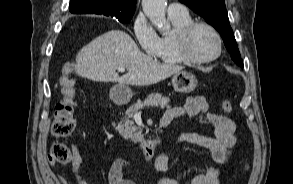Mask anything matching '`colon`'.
<instances>
[{
    "label": "colon",
    "mask_w": 293,
    "mask_h": 184,
    "mask_svg": "<svg viewBox=\"0 0 293 184\" xmlns=\"http://www.w3.org/2000/svg\"><path fill=\"white\" fill-rule=\"evenodd\" d=\"M74 68V63H67L64 67L61 79L62 99L57 103L54 111L52 123V134L56 139H64L69 136L75 128L74 118V89L71 86L68 76ZM222 109L227 113H232L233 106L230 101H222ZM71 151L68 146L60 141H56L50 150V163L66 164L71 160Z\"/></svg>",
    "instance_id": "5ec220e1"
}]
</instances>
